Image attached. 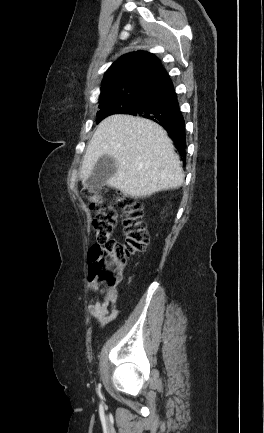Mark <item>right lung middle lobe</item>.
I'll return each mask as SVG.
<instances>
[{
	"label": "right lung middle lobe",
	"mask_w": 264,
	"mask_h": 433,
	"mask_svg": "<svg viewBox=\"0 0 264 433\" xmlns=\"http://www.w3.org/2000/svg\"><path fill=\"white\" fill-rule=\"evenodd\" d=\"M141 87H132L117 94L100 98L97 123L114 113H127L130 104L137 98Z\"/></svg>",
	"instance_id": "1"
}]
</instances>
